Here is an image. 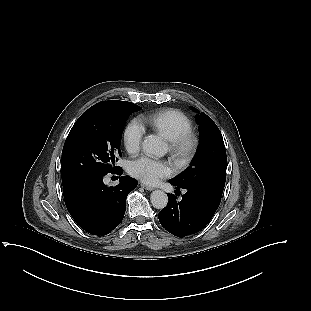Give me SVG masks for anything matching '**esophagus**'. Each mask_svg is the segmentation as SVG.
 <instances>
[{"instance_id": "34e87169", "label": "esophagus", "mask_w": 311, "mask_h": 311, "mask_svg": "<svg viewBox=\"0 0 311 311\" xmlns=\"http://www.w3.org/2000/svg\"><path fill=\"white\" fill-rule=\"evenodd\" d=\"M141 187L144 188L145 190H148V191H151L154 189L152 186H148V185L143 184V183H141Z\"/></svg>"}]
</instances>
